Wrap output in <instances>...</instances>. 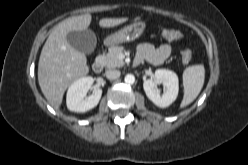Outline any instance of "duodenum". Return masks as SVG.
<instances>
[{"instance_id":"410a0bca","label":"duodenum","mask_w":248,"mask_h":165,"mask_svg":"<svg viewBox=\"0 0 248 165\" xmlns=\"http://www.w3.org/2000/svg\"><path fill=\"white\" fill-rule=\"evenodd\" d=\"M142 62H143V59H142L141 57H137L136 63H137V64H140V63H142ZM104 65H105L104 59H103L102 57H98V58L94 61L93 65H92V69H93V71H94L95 73L99 74V73H101V72L103 71Z\"/></svg>"}]
</instances>
